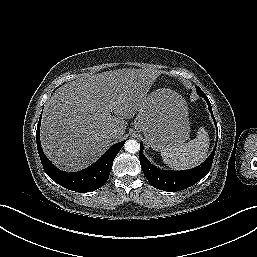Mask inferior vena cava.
<instances>
[{
    "instance_id": "602c4592",
    "label": "inferior vena cava",
    "mask_w": 257,
    "mask_h": 257,
    "mask_svg": "<svg viewBox=\"0 0 257 257\" xmlns=\"http://www.w3.org/2000/svg\"><path fill=\"white\" fill-rule=\"evenodd\" d=\"M106 137L109 139H113L116 137V131L115 130H109L106 132Z\"/></svg>"
}]
</instances>
